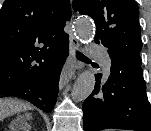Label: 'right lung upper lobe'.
I'll return each mask as SVG.
<instances>
[{
	"mask_svg": "<svg viewBox=\"0 0 151 131\" xmlns=\"http://www.w3.org/2000/svg\"><path fill=\"white\" fill-rule=\"evenodd\" d=\"M68 0H5L0 10V94L44 66L49 51L68 40Z\"/></svg>",
	"mask_w": 151,
	"mask_h": 131,
	"instance_id": "1",
	"label": "right lung upper lobe"
}]
</instances>
